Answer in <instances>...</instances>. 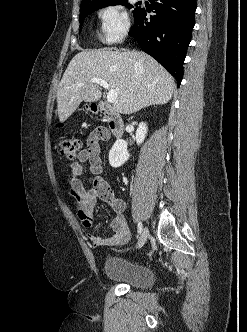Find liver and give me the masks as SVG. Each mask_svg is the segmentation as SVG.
I'll list each match as a JSON object with an SVG mask.
<instances>
[{
  "mask_svg": "<svg viewBox=\"0 0 247 332\" xmlns=\"http://www.w3.org/2000/svg\"><path fill=\"white\" fill-rule=\"evenodd\" d=\"M93 78L105 80L117 92L113 108L132 114L150 105H162L172 98L174 78L152 57L136 50L106 49L82 51L68 64L57 89L60 122L66 121L82 101L96 102L102 92ZM84 83L79 87L78 84Z\"/></svg>",
  "mask_w": 247,
  "mask_h": 332,
  "instance_id": "liver-1",
  "label": "liver"
}]
</instances>
